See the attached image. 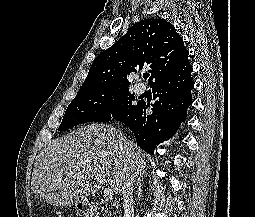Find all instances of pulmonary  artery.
<instances>
[{"mask_svg":"<svg viewBox=\"0 0 255 217\" xmlns=\"http://www.w3.org/2000/svg\"><path fill=\"white\" fill-rule=\"evenodd\" d=\"M144 91H145V87H144L143 85L138 84V85L136 86V92H137L138 94H142Z\"/></svg>","mask_w":255,"mask_h":217,"instance_id":"pulmonary-artery-1","label":"pulmonary artery"}]
</instances>
